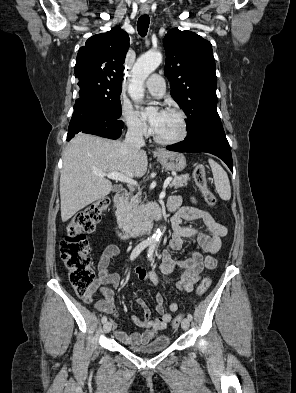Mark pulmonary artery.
I'll return each mask as SVG.
<instances>
[{"label": "pulmonary artery", "instance_id": "pulmonary-artery-1", "mask_svg": "<svg viewBox=\"0 0 296 393\" xmlns=\"http://www.w3.org/2000/svg\"><path fill=\"white\" fill-rule=\"evenodd\" d=\"M146 87L156 97H162L166 91L164 79L159 74L151 75L146 81Z\"/></svg>", "mask_w": 296, "mask_h": 393}]
</instances>
